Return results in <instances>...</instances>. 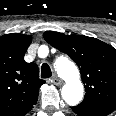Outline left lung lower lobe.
<instances>
[{
	"label": "left lung lower lobe",
	"instance_id": "left-lung-lower-lobe-1",
	"mask_svg": "<svg viewBox=\"0 0 116 116\" xmlns=\"http://www.w3.org/2000/svg\"><path fill=\"white\" fill-rule=\"evenodd\" d=\"M72 110L78 116H107L112 113L115 109H110L102 106H86V105H78L72 107Z\"/></svg>",
	"mask_w": 116,
	"mask_h": 116
}]
</instances>
